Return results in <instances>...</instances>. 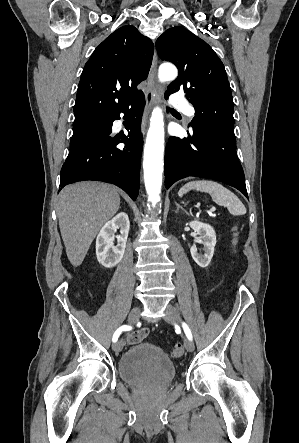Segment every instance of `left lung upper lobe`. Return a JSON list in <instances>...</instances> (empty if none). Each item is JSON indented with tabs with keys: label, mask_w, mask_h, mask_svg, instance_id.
<instances>
[{
	"label": "left lung upper lobe",
	"mask_w": 299,
	"mask_h": 443,
	"mask_svg": "<svg viewBox=\"0 0 299 443\" xmlns=\"http://www.w3.org/2000/svg\"><path fill=\"white\" fill-rule=\"evenodd\" d=\"M162 60L173 62L179 75L165 95L184 90L195 107L194 128L213 126L234 135L233 98L223 63L202 39L187 29L175 26L156 41Z\"/></svg>",
	"instance_id": "1"
}]
</instances>
